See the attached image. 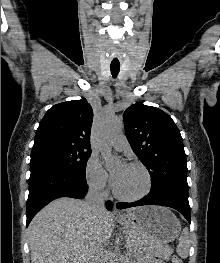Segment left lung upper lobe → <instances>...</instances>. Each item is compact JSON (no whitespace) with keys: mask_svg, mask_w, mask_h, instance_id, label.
<instances>
[{"mask_svg":"<svg viewBox=\"0 0 220 263\" xmlns=\"http://www.w3.org/2000/svg\"><path fill=\"white\" fill-rule=\"evenodd\" d=\"M123 120L132 150L150 173V191L172 189L188 194L186 154L172 118L139 102L126 109Z\"/></svg>","mask_w":220,"mask_h":263,"instance_id":"obj_1","label":"left lung upper lobe"}]
</instances>
